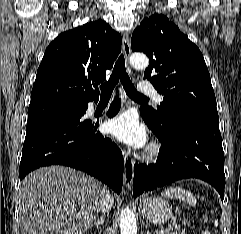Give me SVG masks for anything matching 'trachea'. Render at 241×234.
Listing matches in <instances>:
<instances>
[{
    "label": "trachea",
    "instance_id": "trachea-1",
    "mask_svg": "<svg viewBox=\"0 0 241 234\" xmlns=\"http://www.w3.org/2000/svg\"><path fill=\"white\" fill-rule=\"evenodd\" d=\"M119 79L123 85L124 90L128 94L129 97L136 100H145L147 99L145 96L138 93L132 84L128 74L125 69V59L123 54L120 55L118 60L115 63L114 69L112 71V75L110 79L100 86L101 96L109 97L111 96L115 85L119 82Z\"/></svg>",
    "mask_w": 241,
    "mask_h": 234
}]
</instances>
